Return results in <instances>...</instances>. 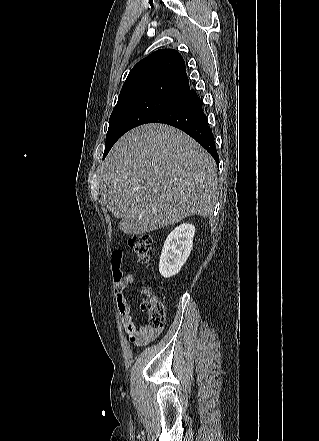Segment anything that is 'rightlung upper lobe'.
<instances>
[{
  "instance_id": "cb5924a9",
  "label": "right lung upper lobe",
  "mask_w": 319,
  "mask_h": 441,
  "mask_svg": "<svg viewBox=\"0 0 319 441\" xmlns=\"http://www.w3.org/2000/svg\"><path fill=\"white\" fill-rule=\"evenodd\" d=\"M190 90L185 62L174 49H161L139 61L130 71L116 105L152 97L175 103Z\"/></svg>"
}]
</instances>
